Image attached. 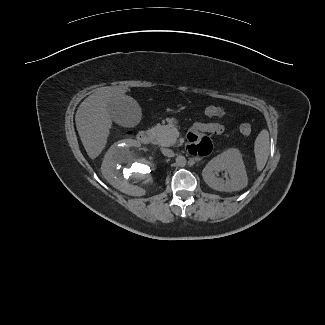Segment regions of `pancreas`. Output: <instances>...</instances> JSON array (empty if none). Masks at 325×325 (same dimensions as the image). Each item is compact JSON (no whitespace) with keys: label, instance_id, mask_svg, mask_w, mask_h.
Here are the masks:
<instances>
[{"label":"pancreas","instance_id":"pancreas-1","mask_svg":"<svg viewBox=\"0 0 325 325\" xmlns=\"http://www.w3.org/2000/svg\"><path fill=\"white\" fill-rule=\"evenodd\" d=\"M177 121L169 120L167 125L157 124L152 128V131L155 133L154 143L159 146H172L175 144L177 137L174 135L176 131Z\"/></svg>","mask_w":325,"mask_h":325}]
</instances>
